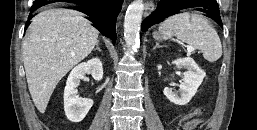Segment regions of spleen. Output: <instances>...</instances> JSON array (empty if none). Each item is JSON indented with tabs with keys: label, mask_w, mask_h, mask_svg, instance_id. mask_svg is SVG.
<instances>
[{
	"label": "spleen",
	"mask_w": 257,
	"mask_h": 130,
	"mask_svg": "<svg viewBox=\"0 0 257 130\" xmlns=\"http://www.w3.org/2000/svg\"><path fill=\"white\" fill-rule=\"evenodd\" d=\"M159 32L166 37L176 36L203 53L211 63L222 56V45L216 30L200 14L183 12L167 18L159 26Z\"/></svg>",
	"instance_id": "3e777b00"
}]
</instances>
